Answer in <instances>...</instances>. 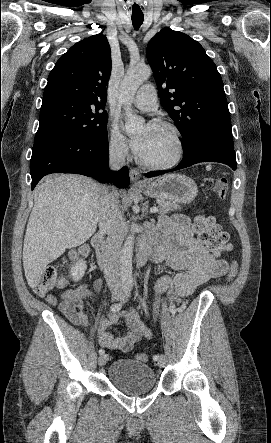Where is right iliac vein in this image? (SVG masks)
<instances>
[{
  "instance_id": "1",
  "label": "right iliac vein",
  "mask_w": 271,
  "mask_h": 443,
  "mask_svg": "<svg viewBox=\"0 0 271 443\" xmlns=\"http://www.w3.org/2000/svg\"><path fill=\"white\" fill-rule=\"evenodd\" d=\"M116 300H121L122 297L120 295H116L115 296ZM108 361V355L107 354H103L98 358V363L100 366H104Z\"/></svg>"
}]
</instances>
